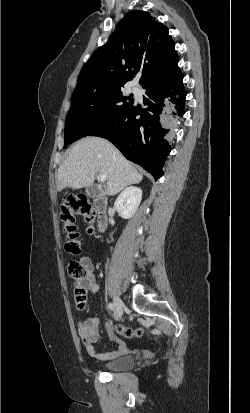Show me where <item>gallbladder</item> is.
<instances>
[{
    "mask_svg": "<svg viewBox=\"0 0 250 413\" xmlns=\"http://www.w3.org/2000/svg\"><path fill=\"white\" fill-rule=\"evenodd\" d=\"M86 193H87V195H89V196L93 195V193H94V187H93V186L88 187V188L86 189Z\"/></svg>",
    "mask_w": 250,
    "mask_h": 413,
    "instance_id": "1",
    "label": "gallbladder"
}]
</instances>
